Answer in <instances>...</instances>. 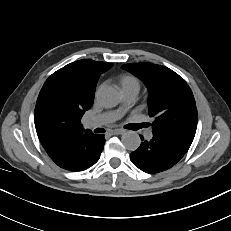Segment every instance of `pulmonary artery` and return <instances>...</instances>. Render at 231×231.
<instances>
[{
	"label": "pulmonary artery",
	"instance_id": "1",
	"mask_svg": "<svg viewBox=\"0 0 231 231\" xmlns=\"http://www.w3.org/2000/svg\"><path fill=\"white\" fill-rule=\"evenodd\" d=\"M137 94L138 92L136 91H126L123 92V97L127 103H130L135 100ZM121 114H122V110H117V111H111L96 116H92L86 119L85 126L88 128L99 127L114 122L121 116ZM145 137L147 139H150L152 137V134L148 132L145 134Z\"/></svg>",
	"mask_w": 231,
	"mask_h": 231
}]
</instances>
